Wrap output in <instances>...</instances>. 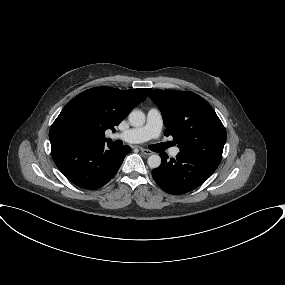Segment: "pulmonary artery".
I'll list each match as a JSON object with an SVG mask.
<instances>
[{"label": "pulmonary artery", "instance_id": "1", "mask_svg": "<svg viewBox=\"0 0 285 285\" xmlns=\"http://www.w3.org/2000/svg\"><path fill=\"white\" fill-rule=\"evenodd\" d=\"M163 127V119L159 109L150 108L147 112L146 123L143 126L130 128L122 132L114 133L113 139H120L128 143H142L152 138H157ZM180 152L178 147L171 149L170 154L177 156Z\"/></svg>", "mask_w": 285, "mask_h": 285}]
</instances>
